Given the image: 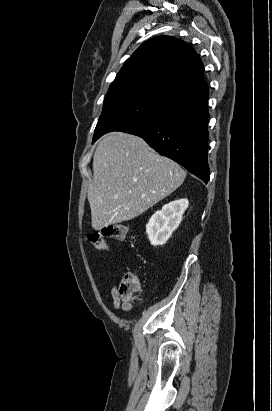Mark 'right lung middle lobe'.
Masks as SVG:
<instances>
[{"label": "right lung middle lobe", "instance_id": "1", "mask_svg": "<svg viewBox=\"0 0 272 411\" xmlns=\"http://www.w3.org/2000/svg\"><path fill=\"white\" fill-rule=\"evenodd\" d=\"M178 107L177 102L164 100L146 90L108 92L93 138L109 131L126 132Z\"/></svg>", "mask_w": 272, "mask_h": 411}]
</instances>
